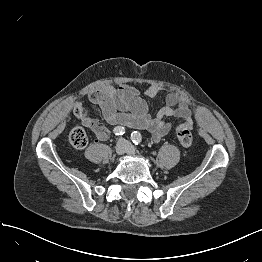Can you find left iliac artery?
I'll list each match as a JSON object with an SVG mask.
<instances>
[{"label":"left iliac artery","instance_id":"obj_1","mask_svg":"<svg viewBox=\"0 0 262 262\" xmlns=\"http://www.w3.org/2000/svg\"><path fill=\"white\" fill-rule=\"evenodd\" d=\"M131 140L133 141V143H135L136 145H139L142 142V136L139 132L134 131L131 134Z\"/></svg>","mask_w":262,"mask_h":262}]
</instances>
